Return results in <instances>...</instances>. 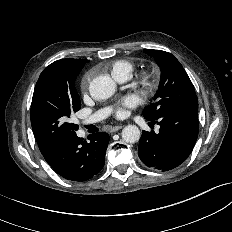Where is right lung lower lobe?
Here are the masks:
<instances>
[{
    "instance_id": "1",
    "label": "right lung lower lobe",
    "mask_w": 232,
    "mask_h": 232,
    "mask_svg": "<svg viewBox=\"0 0 232 232\" xmlns=\"http://www.w3.org/2000/svg\"><path fill=\"white\" fill-rule=\"evenodd\" d=\"M89 142L76 134L61 142L48 162L65 179L86 181L103 168L110 137L107 133L89 136Z\"/></svg>"
}]
</instances>
